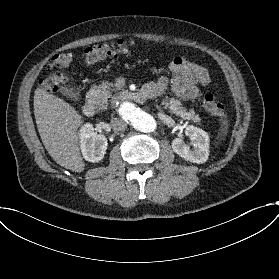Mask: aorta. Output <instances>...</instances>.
<instances>
[{"label":"aorta","instance_id":"1","mask_svg":"<svg viewBox=\"0 0 279 279\" xmlns=\"http://www.w3.org/2000/svg\"><path fill=\"white\" fill-rule=\"evenodd\" d=\"M119 113L127 118L131 125L141 132H153L156 129L155 119L130 101H123L119 105Z\"/></svg>","mask_w":279,"mask_h":279}]
</instances>
